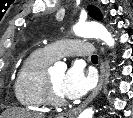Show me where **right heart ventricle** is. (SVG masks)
Here are the masks:
<instances>
[{"mask_svg": "<svg viewBox=\"0 0 133 118\" xmlns=\"http://www.w3.org/2000/svg\"><path fill=\"white\" fill-rule=\"evenodd\" d=\"M52 61L43 49H38L20 67L13 90L16 101L24 108L36 110L45 106L44 80L46 68Z\"/></svg>", "mask_w": 133, "mask_h": 118, "instance_id": "obj_1", "label": "right heart ventricle"}]
</instances>
